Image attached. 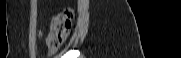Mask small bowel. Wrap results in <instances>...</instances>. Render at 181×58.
<instances>
[{"instance_id":"obj_1","label":"small bowel","mask_w":181,"mask_h":58,"mask_svg":"<svg viewBox=\"0 0 181 58\" xmlns=\"http://www.w3.org/2000/svg\"><path fill=\"white\" fill-rule=\"evenodd\" d=\"M39 36H42V32L41 31L39 32Z\"/></svg>"}]
</instances>
